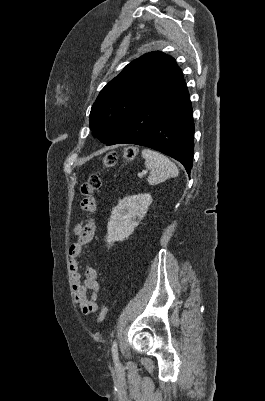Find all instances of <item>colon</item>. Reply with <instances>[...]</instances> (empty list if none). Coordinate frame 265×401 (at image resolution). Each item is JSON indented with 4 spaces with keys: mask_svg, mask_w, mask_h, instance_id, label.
Wrapping results in <instances>:
<instances>
[{
    "mask_svg": "<svg viewBox=\"0 0 265 401\" xmlns=\"http://www.w3.org/2000/svg\"><path fill=\"white\" fill-rule=\"evenodd\" d=\"M138 150L136 147H126L123 150V157L127 161H131L136 158ZM118 156L114 152H110L103 157L102 170L91 174L88 179L81 186V194L84 196H91L102 185V172L113 168L117 162ZM107 305L103 304L98 316V321L102 323L105 320L107 314Z\"/></svg>",
    "mask_w": 265,
    "mask_h": 401,
    "instance_id": "1",
    "label": "colon"
}]
</instances>
